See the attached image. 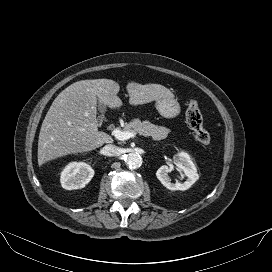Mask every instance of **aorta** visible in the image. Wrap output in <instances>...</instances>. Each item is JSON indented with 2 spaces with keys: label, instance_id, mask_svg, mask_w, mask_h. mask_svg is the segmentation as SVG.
Instances as JSON below:
<instances>
[{
  "label": "aorta",
  "instance_id": "1",
  "mask_svg": "<svg viewBox=\"0 0 272 272\" xmlns=\"http://www.w3.org/2000/svg\"><path fill=\"white\" fill-rule=\"evenodd\" d=\"M125 163L129 168L135 169L141 166L142 158L137 153H129L126 156Z\"/></svg>",
  "mask_w": 272,
  "mask_h": 272
}]
</instances>
